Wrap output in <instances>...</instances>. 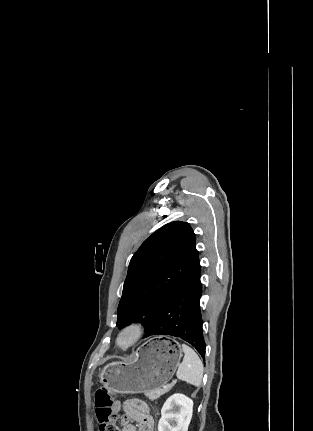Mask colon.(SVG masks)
Wrapping results in <instances>:
<instances>
[{
	"instance_id": "obj_1",
	"label": "colon",
	"mask_w": 313,
	"mask_h": 431,
	"mask_svg": "<svg viewBox=\"0 0 313 431\" xmlns=\"http://www.w3.org/2000/svg\"><path fill=\"white\" fill-rule=\"evenodd\" d=\"M95 413L99 423L98 431H119L116 414L112 409L113 392L99 387L94 394Z\"/></svg>"
}]
</instances>
